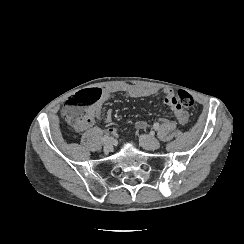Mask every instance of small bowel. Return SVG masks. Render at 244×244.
<instances>
[{
	"label": "small bowel",
	"mask_w": 244,
	"mask_h": 244,
	"mask_svg": "<svg viewBox=\"0 0 244 244\" xmlns=\"http://www.w3.org/2000/svg\"><path fill=\"white\" fill-rule=\"evenodd\" d=\"M97 90H99L101 93L100 99L94 105L89 106L86 109L89 112L91 117L90 127H92L97 120L102 118L103 104L106 101H108L114 94L122 93L132 98H145L157 92V90L152 87L133 86L129 84H111L102 89H97ZM163 93L165 94L163 103L166 106H170L172 108L173 114L176 117L178 123L181 125H185L189 120L188 112L182 107H179L172 103L173 92L171 89L166 88L163 90ZM104 119L106 122H111L112 121L111 112H107L105 114ZM136 126L140 129H145L147 127V123L144 121H138L136 123Z\"/></svg>",
	"instance_id": "c3829d8e"
}]
</instances>
